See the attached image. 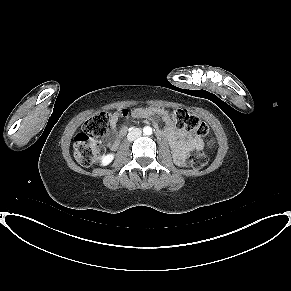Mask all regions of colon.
I'll return each mask as SVG.
<instances>
[{"mask_svg":"<svg viewBox=\"0 0 291 291\" xmlns=\"http://www.w3.org/2000/svg\"><path fill=\"white\" fill-rule=\"evenodd\" d=\"M122 115H126V111H122ZM169 116L178 128L206 137V145L213 146L214 141L208 136L207 124L195 114L186 109H175L169 112ZM109 121V113L99 112L83 125L82 131L76 136L74 142V157L80 165L95 164L103 155L104 148L96 139L107 132ZM206 162L207 156L202 152H193L186 158L187 166L193 169L202 168Z\"/></svg>","mask_w":291,"mask_h":291,"instance_id":"colon-1","label":"colon"}]
</instances>
